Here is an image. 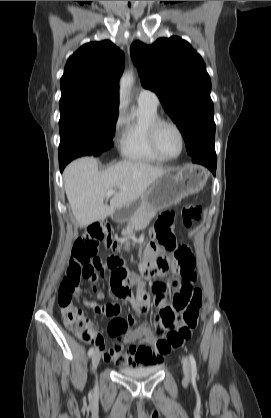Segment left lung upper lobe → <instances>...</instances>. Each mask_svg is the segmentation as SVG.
<instances>
[{"instance_id": "1", "label": "left lung upper lobe", "mask_w": 271, "mask_h": 418, "mask_svg": "<svg viewBox=\"0 0 271 418\" xmlns=\"http://www.w3.org/2000/svg\"><path fill=\"white\" fill-rule=\"evenodd\" d=\"M130 52L142 85L158 95L188 154L194 158L215 150L211 80L201 56L179 37L160 38L152 45L137 41Z\"/></svg>"}]
</instances>
